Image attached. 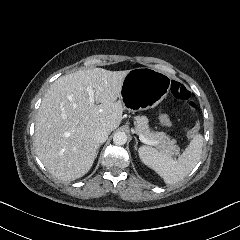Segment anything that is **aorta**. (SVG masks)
<instances>
[{
  "label": "aorta",
  "instance_id": "obj_1",
  "mask_svg": "<svg viewBox=\"0 0 240 240\" xmlns=\"http://www.w3.org/2000/svg\"><path fill=\"white\" fill-rule=\"evenodd\" d=\"M113 141L116 145H123L127 142V134L123 131H117L113 135Z\"/></svg>",
  "mask_w": 240,
  "mask_h": 240
}]
</instances>
